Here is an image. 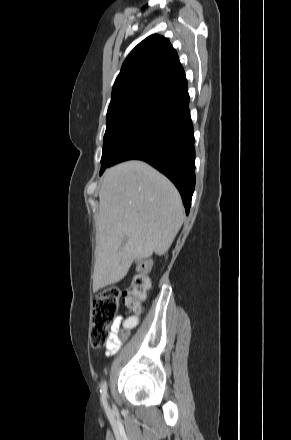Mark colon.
<instances>
[{
	"instance_id": "1",
	"label": "colon",
	"mask_w": 291,
	"mask_h": 440,
	"mask_svg": "<svg viewBox=\"0 0 291 440\" xmlns=\"http://www.w3.org/2000/svg\"><path fill=\"white\" fill-rule=\"evenodd\" d=\"M154 265L153 259H145L141 266L145 272ZM150 287L146 273L137 274L129 279L125 288L108 287L95 298L92 307L90 324V343L98 348L109 343L110 328L118 312V301L123 297L126 308L134 315L139 316L144 311V301ZM127 337V332L118 333L119 340Z\"/></svg>"
}]
</instances>
